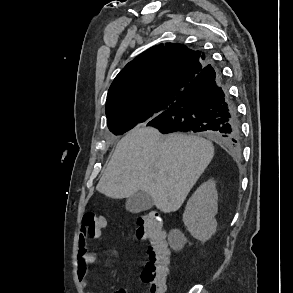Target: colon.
Returning a JSON list of instances; mask_svg holds the SVG:
<instances>
[{"mask_svg":"<svg viewBox=\"0 0 293 293\" xmlns=\"http://www.w3.org/2000/svg\"><path fill=\"white\" fill-rule=\"evenodd\" d=\"M105 217L96 212H86L82 219L84 233L97 238L106 227ZM136 236L147 240L148 259L142 270V280L147 285V293H164L170 271L169 250L162 229V216L151 211L136 220Z\"/></svg>","mask_w":293,"mask_h":293,"instance_id":"1","label":"colon"}]
</instances>
